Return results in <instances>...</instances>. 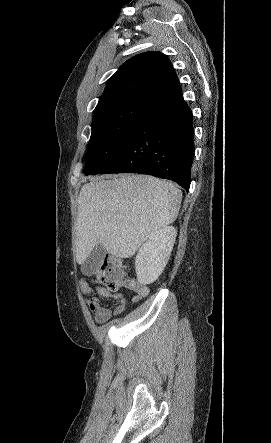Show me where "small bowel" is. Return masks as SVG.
Instances as JSON below:
<instances>
[{"instance_id": "c3829d8e", "label": "small bowel", "mask_w": 271, "mask_h": 443, "mask_svg": "<svg viewBox=\"0 0 271 443\" xmlns=\"http://www.w3.org/2000/svg\"><path fill=\"white\" fill-rule=\"evenodd\" d=\"M80 289L85 294H90L96 291L101 297L118 299L119 303L114 309L107 308L101 304L98 297L92 296L86 299V304L91 312L94 314V320L98 324H102L109 320L112 316L122 313L126 308V300L122 298L120 294H112L110 291L103 287L92 286L85 279H81L79 282ZM131 288L136 290L138 295L135 300L144 297L147 294V289L141 287L135 283H132Z\"/></svg>"}]
</instances>
